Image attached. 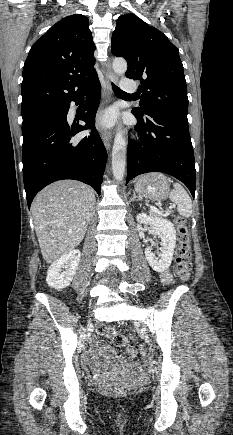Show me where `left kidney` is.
<instances>
[{"instance_id": "1", "label": "left kidney", "mask_w": 233, "mask_h": 435, "mask_svg": "<svg viewBox=\"0 0 233 435\" xmlns=\"http://www.w3.org/2000/svg\"><path fill=\"white\" fill-rule=\"evenodd\" d=\"M137 222L140 224H150L155 236L161 238V253L158 257L152 253V248H145V257L156 272L167 270L172 262L174 248L176 246V230L174 225L167 219L158 218L155 216L140 213L136 216Z\"/></svg>"}]
</instances>
